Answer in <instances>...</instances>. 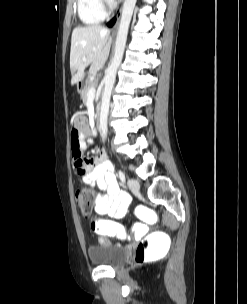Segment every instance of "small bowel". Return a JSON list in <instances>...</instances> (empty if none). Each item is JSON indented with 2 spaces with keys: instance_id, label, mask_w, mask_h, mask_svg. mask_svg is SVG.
I'll return each instance as SVG.
<instances>
[{
  "instance_id": "obj_1",
  "label": "small bowel",
  "mask_w": 247,
  "mask_h": 304,
  "mask_svg": "<svg viewBox=\"0 0 247 304\" xmlns=\"http://www.w3.org/2000/svg\"><path fill=\"white\" fill-rule=\"evenodd\" d=\"M71 119H82V112H71ZM70 130V149L75 168L85 185L100 190L94 199V210L112 219L122 218L127 213L131 198L120 190L106 153L102 151L95 158H85L83 150L91 142L89 128L81 120H72Z\"/></svg>"
}]
</instances>
